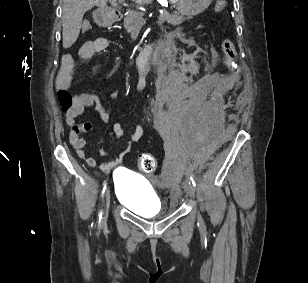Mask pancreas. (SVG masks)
<instances>
[{"mask_svg": "<svg viewBox=\"0 0 308 283\" xmlns=\"http://www.w3.org/2000/svg\"><path fill=\"white\" fill-rule=\"evenodd\" d=\"M191 17H188L187 19H190ZM185 18L183 16H179L176 14H170L167 11H164L163 14H160L159 21L164 23H168L170 25H179L181 24ZM143 13L137 12V11H130L125 17H124V28L128 32H132L135 28H140L143 25Z\"/></svg>", "mask_w": 308, "mask_h": 283, "instance_id": "cf45deb5", "label": "pancreas"}]
</instances>
